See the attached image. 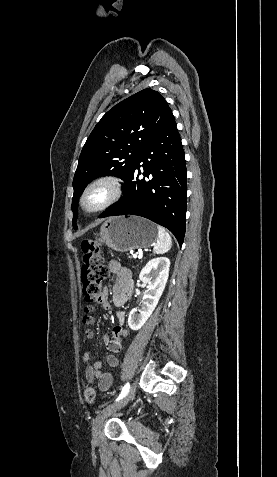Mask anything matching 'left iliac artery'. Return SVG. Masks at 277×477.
I'll list each match as a JSON object with an SVG mask.
<instances>
[{
    "label": "left iliac artery",
    "instance_id": "1",
    "mask_svg": "<svg viewBox=\"0 0 277 477\" xmlns=\"http://www.w3.org/2000/svg\"><path fill=\"white\" fill-rule=\"evenodd\" d=\"M129 388H130V385L129 383H126L125 386L123 387L122 391H121V394L119 395V397L116 399V401L120 400L121 398H123L129 391Z\"/></svg>",
    "mask_w": 277,
    "mask_h": 477
}]
</instances>
